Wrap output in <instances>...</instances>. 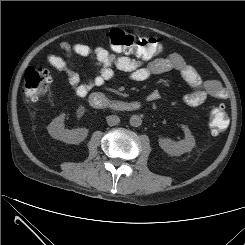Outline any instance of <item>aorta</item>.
Masks as SVG:
<instances>
[{
  "label": "aorta",
  "mask_w": 245,
  "mask_h": 245,
  "mask_svg": "<svg viewBox=\"0 0 245 245\" xmlns=\"http://www.w3.org/2000/svg\"><path fill=\"white\" fill-rule=\"evenodd\" d=\"M129 123L133 127H138L142 124V119L138 115H132L130 120H129Z\"/></svg>",
  "instance_id": "aorta-1"
}]
</instances>
